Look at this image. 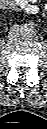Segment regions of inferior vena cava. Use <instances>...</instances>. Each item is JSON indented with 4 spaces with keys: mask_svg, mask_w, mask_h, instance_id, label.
<instances>
[{
    "mask_svg": "<svg viewBox=\"0 0 47 129\" xmlns=\"http://www.w3.org/2000/svg\"><path fill=\"white\" fill-rule=\"evenodd\" d=\"M19 36L18 29L16 27L12 28L9 33V38L14 39Z\"/></svg>",
    "mask_w": 47,
    "mask_h": 129,
    "instance_id": "1",
    "label": "inferior vena cava"
}]
</instances>
